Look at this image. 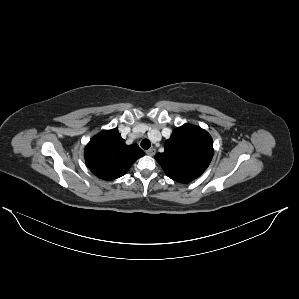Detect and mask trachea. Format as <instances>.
I'll use <instances>...</instances> for the list:
<instances>
[{"label":"trachea","instance_id":"3493384b","mask_svg":"<svg viewBox=\"0 0 299 299\" xmlns=\"http://www.w3.org/2000/svg\"><path fill=\"white\" fill-rule=\"evenodd\" d=\"M150 146H151V143H150V141H149L148 139H143V140L141 141V147H142L143 149L147 150V149L150 148Z\"/></svg>","mask_w":299,"mask_h":299}]
</instances>
